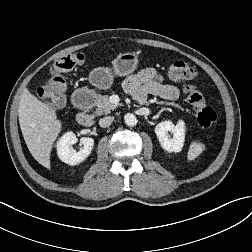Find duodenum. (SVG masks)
<instances>
[{
  "mask_svg": "<svg viewBox=\"0 0 252 252\" xmlns=\"http://www.w3.org/2000/svg\"><path fill=\"white\" fill-rule=\"evenodd\" d=\"M93 101L94 96L89 90L80 89L74 93L73 103L80 109L77 114V121L79 124L84 126L92 125L93 121L88 114V108L92 105Z\"/></svg>",
  "mask_w": 252,
  "mask_h": 252,
  "instance_id": "obj_1",
  "label": "duodenum"
}]
</instances>
